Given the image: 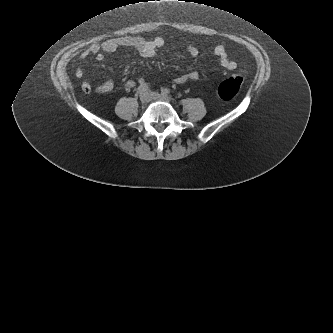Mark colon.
Here are the masks:
<instances>
[{
    "label": "colon",
    "instance_id": "1",
    "mask_svg": "<svg viewBox=\"0 0 333 333\" xmlns=\"http://www.w3.org/2000/svg\"><path fill=\"white\" fill-rule=\"evenodd\" d=\"M243 81L242 75H234L222 81L217 89L218 95L224 100L233 99L239 93Z\"/></svg>",
    "mask_w": 333,
    "mask_h": 333
}]
</instances>
